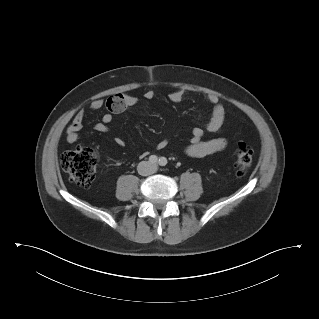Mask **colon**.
Masks as SVG:
<instances>
[{
  "instance_id": "obj_1",
  "label": "colon",
  "mask_w": 319,
  "mask_h": 319,
  "mask_svg": "<svg viewBox=\"0 0 319 319\" xmlns=\"http://www.w3.org/2000/svg\"><path fill=\"white\" fill-rule=\"evenodd\" d=\"M113 96L109 101V107L113 109ZM98 152L89 146H78L72 151L62 154L60 163L62 168L69 174L71 179L84 187H88L95 179ZM253 151L245 143H239L235 150L234 168L238 175H243L252 165Z\"/></svg>"
}]
</instances>
